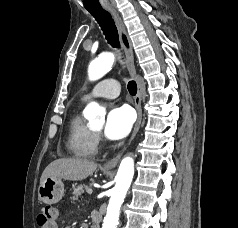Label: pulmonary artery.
Listing matches in <instances>:
<instances>
[{"label":"pulmonary artery","mask_w":238,"mask_h":228,"mask_svg":"<svg viewBox=\"0 0 238 228\" xmlns=\"http://www.w3.org/2000/svg\"><path fill=\"white\" fill-rule=\"evenodd\" d=\"M119 94H120L119 82L115 78H109L102 80L95 86H93L86 94H84L83 101H87L96 97L113 99L118 97Z\"/></svg>","instance_id":"pulmonary-artery-1"}]
</instances>
